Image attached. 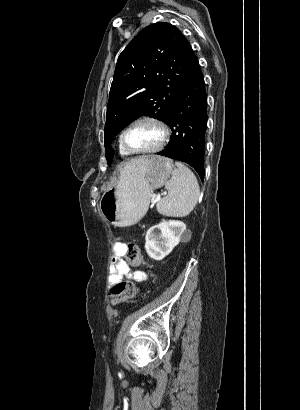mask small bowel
Returning a JSON list of instances; mask_svg holds the SVG:
<instances>
[{"label":"small bowel","instance_id":"small-bowel-1","mask_svg":"<svg viewBox=\"0 0 300 410\" xmlns=\"http://www.w3.org/2000/svg\"><path fill=\"white\" fill-rule=\"evenodd\" d=\"M125 244L117 242L113 246L111 259L109 282L114 283L121 279H126L133 283L147 280L148 273L144 270H131L130 265L123 259Z\"/></svg>","mask_w":300,"mask_h":410}]
</instances>
